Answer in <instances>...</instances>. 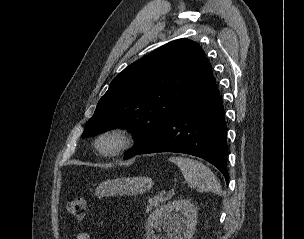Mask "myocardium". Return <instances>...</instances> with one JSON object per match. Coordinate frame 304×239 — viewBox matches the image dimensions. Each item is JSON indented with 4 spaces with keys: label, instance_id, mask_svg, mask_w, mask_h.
Segmentation results:
<instances>
[{
    "label": "myocardium",
    "instance_id": "myocardium-1",
    "mask_svg": "<svg viewBox=\"0 0 304 239\" xmlns=\"http://www.w3.org/2000/svg\"><path fill=\"white\" fill-rule=\"evenodd\" d=\"M111 141V146L105 143ZM95 148L103 156H117L133 145V136L129 129L125 127H111L101 131L95 138Z\"/></svg>",
    "mask_w": 304,
    "mask_h": 239
}]
</instances>
